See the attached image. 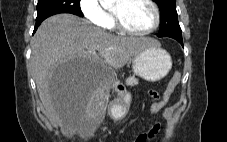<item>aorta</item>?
Masks as SVG:
<instances>
[{
	"label": "aorta",
	"instance_id": "obj_1",
	"mask_svg": "<svg viewBox=\"0 0 227 142\" xmlns=\"http://www.w3.org/2000/svg\"><path fill=\"white\" fill-rule=\"evenodd\" d=\"M115 1L116 0H100L102 6H104V7L113 4Z\"/></svg>",
	"mask_w": 227,
	"mask_h": 142
}]
</instances>
